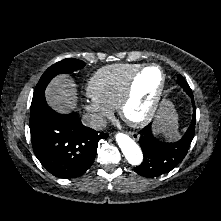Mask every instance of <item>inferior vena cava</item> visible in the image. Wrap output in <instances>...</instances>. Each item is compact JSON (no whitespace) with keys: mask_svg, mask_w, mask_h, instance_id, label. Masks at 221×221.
<instances>
[{"mask_svg":"<svg viewBox=\"0 0 221 221\" xmlns=\"http://www.w3.org/2000/svg\"><path fill=\"white\" fill-rule=\"evenodd\" d=\"M83 122L95 130H103L107 126L106 119L97 114H86L83 116Z\"/></svg>","mask_w":221,"mask_h":221,"instance_id":"obj_1","label":"inferior vena cava"}]
</instances>
